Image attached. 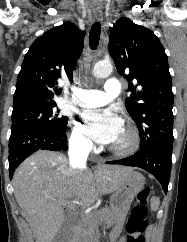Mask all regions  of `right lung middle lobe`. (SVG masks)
I'll use <instances>...</instances> for the list:
<instances>
[{"mask_svg": "<svg viewBox=\"0 0 187 242\" xmlns=\"http://www.w3.org/2000/svg\"><path fill=\"white\" fill-rule=\"evenodd\" d=\"M68 118L59 114L55 102H32L13 106L11 131L20 129L65 132Z\"/></svg>", "mask_w": 187, "mask_h": 242, "instance_id": "1", "label": "right lung middle lobe"}]
</instances>
